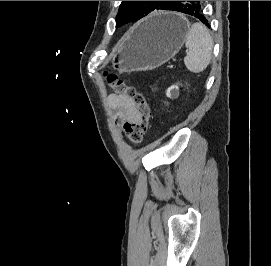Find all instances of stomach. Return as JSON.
<instances>
[{"label": "stomach", "mask_w": 271, "mask_h": 266, "mask_svg": "<svg viewBox=\"0 0 271 266\" xmlns=\"http://www.w3.org/2000/svg\"><path fill=\"white\" fill-rule=\"evenodd\" d=\"M190 24L174 12L153 14L133 28L112 60L120 72L152 70L173 58L182 47Z\"/></svg>", "instance_id": "1"}]
</instances>
